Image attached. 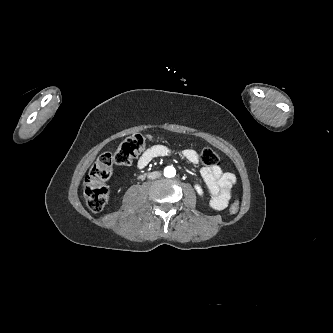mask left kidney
<instances>
[{
  "mask_svg": "<svg viewBox=\"0 0 333 333\" xmlns=\"http://www.w3.org/2000/svg\"><path fill=\"white\" fill-rule=\"evenodd\" d=\"M195 189L199 195L203 194V190L201 189V187L199 185H195Z\"/></svg>",
  "mask_w": 333,
  "mask_h": 333,
  "instance_id": "obj_1",
  "label": "left kidney"
}]
</instances>
